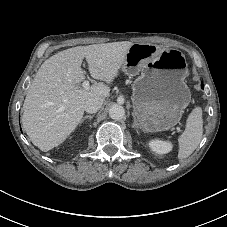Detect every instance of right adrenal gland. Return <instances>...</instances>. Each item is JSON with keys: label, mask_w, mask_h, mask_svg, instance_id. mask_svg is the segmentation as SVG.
Returning <instances> with one entry per match:
<instances>
[{"label": "right adrenal gland", "mask_w": 227, "mask_h": 227, "mask_svg": "<svg viewBox=\"0 0 227 227\" xmlns=\"http://www.w3.org/2000/svg\"><path fill=\"white\" fill-rule=\"evenodd\" d=\"M93 117H94V115H86V116H84V117L82 118L80 124H82L86 119H90V120L93 119Z\"/></svg>", "instance_id": "obj_1"}]
</instances>
